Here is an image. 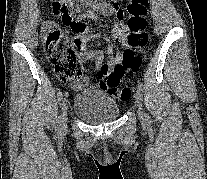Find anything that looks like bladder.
I'll list each match as a JSON object with an SVG mask.
<instances>
[{
	"mask_svg": "<svg viewBox=\"0 0 207 179\" xmlns=\"http://www.w3.org/2000/svg\"><path fill=\"white\" fill-rule=\"evenodd\" d=\"M74 113L85 122L93 125L116 120L120 107L103 88L90 86L74 97Z\"/></svg>",
	"mask_w": 207,
	"mask_h": 179,
	"instance_id": "obj_1",
	"label": "bladder"
}]
</instances>
